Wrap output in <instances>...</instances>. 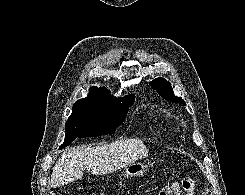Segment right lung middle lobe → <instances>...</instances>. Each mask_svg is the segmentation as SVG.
Masks as SVG:
<instances>
[{"instance_id":"1","label":"right lung middle lobe","mask_w":245,"mask_h":195,"mask_svg":"<svg viewBox=\"0 0 245 195\" xmlns=\"http://www.w3.org/2000/svg\"><path fill=\"white\" fill-rule=\"evenodd\" d=\"M133 102L134 99L122 104L90 99L76 101L65 124V140L60 149L76 138L113 134Z\"/></svg>"}]
</instances>
